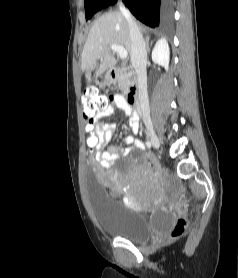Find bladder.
I'll return each mask as SVG.
<instances>
[{"mask_svg": "<svg viewBox=\"0 0 238 278\" xmlns=\"http://www.w3.org/2000/svg\"><path fill=\"white\" fill-rule=\"evenodd\" d=\"M97 179V175H87V180ZM98 185V181H87L93 213L104 233L140 243L173 225L174 216L170 212L157 210L148 215L111 197L105 193L104 186Z\"/></svg>", "mask_w": 238, "mask_h": 278, "instance_id": "1", "label": "bladder"}]
</instances>
